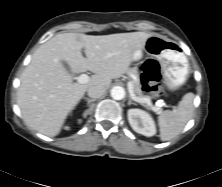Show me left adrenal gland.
I'll use <instances>...</instances> for the list:
<instances>
[{
    "label": "left adrenal gland",
    "mask_w": 222,
    "mask_h": 187,
    "mask_svg": "<svg viewBox=\"0 0 222 187\" xmlns=\"http://www.w3.org/2000/svg\"><path fill=\"white\" fill-rule=\"evenodd\" d=\"M131 104L136 105V103L133 102L132 99L130 98L129 101H128V105H131Z\"/></svg>",
    "instance_id": "a2214340"
}]
</instances>
